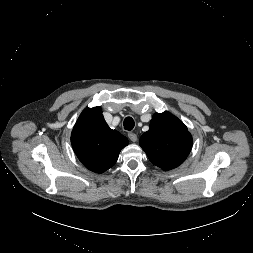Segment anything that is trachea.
Wrapping results in <instances>:
<instances>
[{
  "mask_svg": "<svg viewBox=\"0 0 253 253\" xmlns=\"http://www.w3.org/2000/svg\"><path fill=\"white\" fill-rule=\"evenodd\" d=\"M134 120L132 117H126L124 119V129L125 130H128V131H131L133 128H134Z\"/></svg>",
  "mask_w": 253,
  "mask_h": 253,
  "instance_id": "3493384b",
  "label": "trachea"
}]
</instances>
